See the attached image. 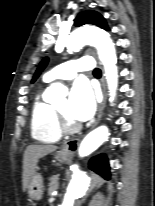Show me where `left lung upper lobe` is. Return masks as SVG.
Instances as JSON below:
<instances>
[{
	"mask_svg": "<svg viewBox=\"0 0 155 206\" xmlns=\"http://www.w3.org/2000/svg\"><path fill=\"white\" fill-rule=\"evenodd\" d=\"M84 24H94L103 29L108 30L105 19L95 11H84L77 16V18L75 19V26H81ZM47 63H48V58L46 57L39 64L31 83H34L36 81V79L40 76V74L46 67Z\"/></svg>",
	"mask_w": 155,
	"mask_h": 206,
	"instance_id": "5c2ea615",
	"label": "left lung upper lobe"
}]
</instances>
